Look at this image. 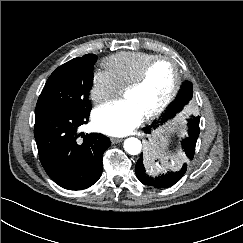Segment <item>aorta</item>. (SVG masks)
<instances>
[{
    "mask_svg": "<svg viewBox=\"0 0 243 243\" xmlns=\"http://www.w3.org/2000/svg\"><path fill=\"white\" fill-rule=\"evenodd\" d=\"M124 149L130 155H138L142 149L141 141L134 137L128 138L124 142Z\"/></svg>",
    "mask_w": 243,
    "mask_h": 243,
    "instance_id": "obj_1",
    "label": "aorta"
}]
</instances>
